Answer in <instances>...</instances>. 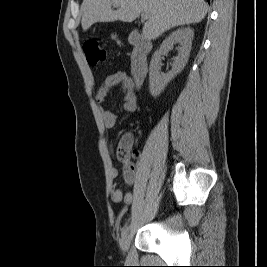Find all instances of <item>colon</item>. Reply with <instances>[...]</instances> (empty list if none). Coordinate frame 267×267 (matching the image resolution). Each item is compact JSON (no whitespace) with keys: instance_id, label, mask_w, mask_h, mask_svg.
Here are the masks:
<instances>
[{"instance_id":"1","label":"colon","mask_w":267,"mask_h":267,"mask_svg":"<svg viewBox=\"0 0 267 267\" xmlns=\"http://www.w3.org/2000/svg\"><path fill=\"white\" fill-rule=\"evenodd\" d=\"M84 52L91 66H96L106 59V51L94 40L87 41L84 44ZM136 155L137 152L133 149L131 138L128 136L122 137L117 148L118 159L123 162H128Z\"/></svg>"}]
</instances>
